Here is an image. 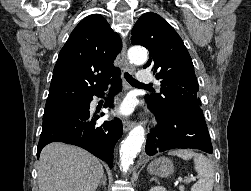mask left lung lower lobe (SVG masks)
Here are the masks:
<instances>
[{
  "label": "left lung lower lobe",
  "mask_w": 251,
  "mask_h": 191,
  "mask_svg": "<svg viewBox=\"0 0 251 191\" xmlns=\"http://www.w3.org/2000/svg\"><path fill=\"white\" fill-rule=\"evenodd\" d=\"M158 125L147 137L145 151L149 156L170 149H199L213 153L211 139L201 106L177 107L161 117L147 101Z\"/></svg>",
  "instance_id": "1"
}]
</instances>
